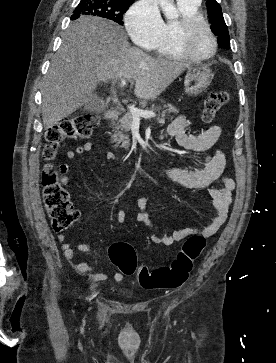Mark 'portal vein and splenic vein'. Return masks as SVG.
I'll use <instances>...</instances> for the list:
<instances>
[{
    "instance_id": "18ae733b",
    "label": "portal vein and splenic vein",
    "mask_w": 276,
    "mask_h": 363,
    "mask_svg": "<svg viewBox=\"0 0 276 363\" xmlns=\"http://www.w3.org/2000/svg\"><path fill=\"white\" fill-rule=\"evenodd\" d=\"M125 85H126V80L122 79L120 81V86L124 87ZM128 108H129V111L132 114L134 120H140V117L151 118V117L155 116V114L153 112L138 109V108L134 107L133 105L128 106Z\"/></svg>"
}]
</instances>
